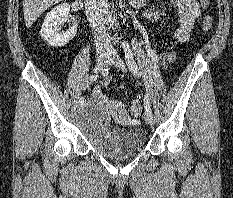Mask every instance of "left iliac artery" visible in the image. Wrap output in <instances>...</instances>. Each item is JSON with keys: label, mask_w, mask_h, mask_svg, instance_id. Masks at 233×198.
<instances>
[{"label": "left iliac artery", "mask_w": 233, "mask_h": 198, "mask_svg": "<svg viewBox=\"0 0 233 198\" xmlns=\"http://www.w3.org/2000/svg\"><path fill=\"white\" fill-rule=\"evenodd\" d=\"M122 46H123L124 55H125L126 63L128 65L129 70L134 75L141 76L142 73L134 61L133 53H132V50H131L129 43L127 41H124L122 43ZM144 105H145L146 112L152 113L148 94H145V96H144Z\"/></svg>", "instance_id": "left-iliac-artery-1"}]
</instances>
